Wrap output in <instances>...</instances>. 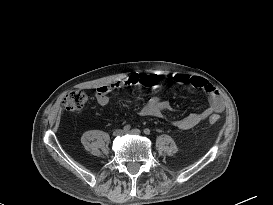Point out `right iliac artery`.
Here are the masks:
<instances>
[{
	"instance_id": "82829eb1",
	"label": "right iliac artery",
	"mask_w": 273,
	"mask_h": 205,
	"mask_svg": "<svg viewBox=\"0 0 273 205\" xmlns=\"http://www.w3.org/2000/svg\"><path fill=\"white\" fill-rule=\"evenodd\" d=\"M124 131H129L131 129V126L129 124L125 125L123 127Z\"/></svg>"
}]
</instances>
